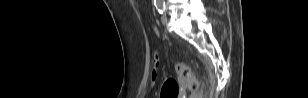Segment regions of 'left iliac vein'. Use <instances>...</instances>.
Masks as SVG:
<instances>
[{
	"mask_svg": "<svg viewBox=\"0 0 308 98\" xmlns=\"http://www.w3.org/2000/svg\"><path fill=\"white\" fill-rule=\"evenodd\" d=\"M161 22L163 25H166L168 23V18L166 15H163L162 18H161Z\"/></svg>",
	"mask_w": 308,
	"mask_h": 98,
	"instance_id": "left-iliac-vein-1",
	"label": "left iliac vein"
}]
</instances>
